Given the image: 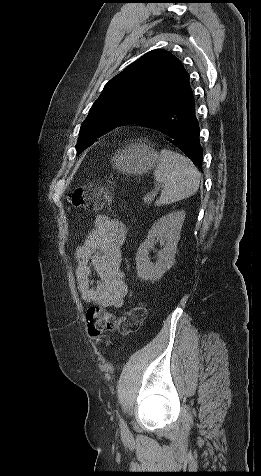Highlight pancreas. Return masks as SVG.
I'll use <instances>...</instances> for the list:
<instances>
[{"instance_id": "cf45deb5", "label": "pancreas", "mask_w": 261, "mask_h": 476, "mask_svg": "<svg viewBox=\"0 0 261 476\" xmlns=\"http://www.w3.org/2000/svg\"><path fill=\"white\" fill-rule=\"evenodd\" d=\"M144 203L147 204L148 206L152 203L153 201V195L152 194H147L144 198Z\"/></svg>"}]
</instances>
